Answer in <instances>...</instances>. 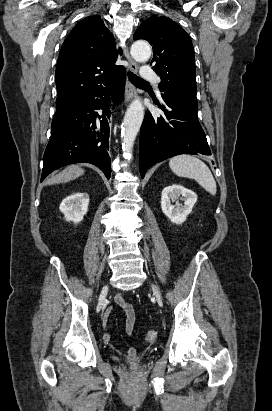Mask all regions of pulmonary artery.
Masks as SVG:
<instances>
[{"instance_id": "obj_1", "label": "pulmonary artery", "mask_w": 272, "mask_h": 411, "mask_svg": "<svg viewBox=\"0 0 272 411\" xmlns=\"http://www.w3.org/2000/svg\"><path fill=\"white\" fill-rule=\"evenodd\" d=\"M141 78L144 80H151V81H157L158 76L156 72L150 68L149 66H144L142 71H141Z\"/></svg>"}]
</instances>
